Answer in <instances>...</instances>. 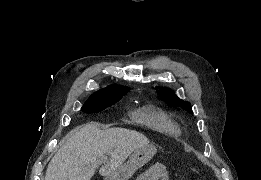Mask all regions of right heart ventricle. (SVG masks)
Segmentation results:
<instances>
[{
  "instance_id": "obj_1",
  "label": "right heart ventricle",
  "mask_w": 261,
  "mask_h": 180,
  "mask_svg": "<svg viewBox=\"0 0 261 180\" xmlns=\"http://www.w3.org/2000/svg\"><path fill=\"white\" fill-rule=\"evenodd\" d=\"M129 121H143V126H132L145 133H167V138H140L156 140H176L182 136L181 127L164 110L153 105L142 106L130 115Z\"/></svg>"
}]
</instances>
